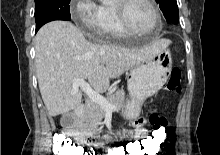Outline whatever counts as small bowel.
Here are the masks:
<instances>
[{"label": "small bowel", "instance_id": "small-bowel-1", "mask_svg": "<svg viewBox=\"0 0 220 155\" xmlns=\"http://www.w3.org/2000/svg\"><path fill=\"white\" fill-rule=\"evenodd\" d=\"M144 120L138 119L133 122L135 126L134 139H144V135H149L143 128ZM167 135V134H166ZM109 133H104L103 136H91V140H86V145H107L110 140ZM110 155V152L108 153Z\"/></svg>", "mask_w": 220, "mask_h": 155}]
</instances>
